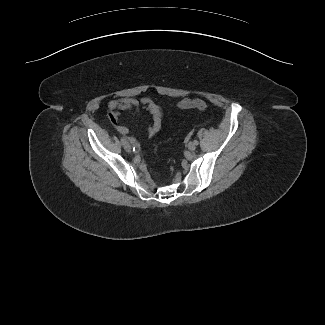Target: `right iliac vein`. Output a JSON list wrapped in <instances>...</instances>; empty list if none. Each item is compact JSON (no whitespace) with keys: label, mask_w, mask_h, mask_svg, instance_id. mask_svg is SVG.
Returning a JSON list of instances; mask_svg holds the SVG:
<instances>
[{"label":"right iliac vein","mask_w":325,"mask_h":325,"mask_svg":"<svg viewBox=\"0 0 325 325\" xmlns=\"http://www.w3.org/2000/svg\"><path fill=\"white\" fill-rule=\"evenodd\" d=\"M124 149L127 151V152H131V145L128 143V142H126L125 144H124Z\"/></svg>","instance_id":"1"}]
</instances>
